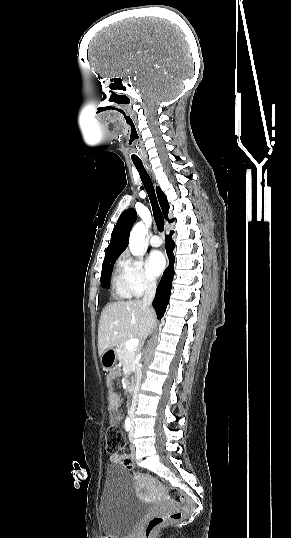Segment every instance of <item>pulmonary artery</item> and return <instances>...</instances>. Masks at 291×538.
Masks as SVG:
<instances>
[{"label":"pulmonary artery","mask_w":291,"mask_h":538,"mask_svg":"<svg viewBox=\"0 0 291 538\" xmlns=\"http://www.w3.org/2000/svg\"><path fill=\"white\" fill-rule=\"evenodd\" d=\"M149 243L152 247H159L162 245V239L161 237L155 235L151 237Z\"/></svg>","instance_id":"e3ab8cb5"}]
</instances>
